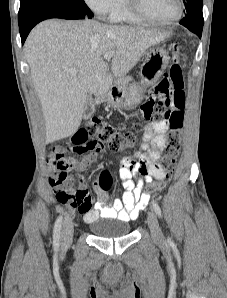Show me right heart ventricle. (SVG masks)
Wrapping results in <instances>:
<instances>
[{"label":"right heart ventricle","mask_w":227,"mask_h":298,"mask_svg":"<svg viewBox=\"0 0 227 298\" xmlns=\"http://www.w3.org/2000/svg\"><path fill=\"white\" fill-rule=\"evenodd\" d=\"M112 22L126 23V24H141L142 21L138 20L127 8L126 0H120L117 8L109 15Z\"/></svg>","instance_id":"right-heart-ventricle-1"}]
</instances>
